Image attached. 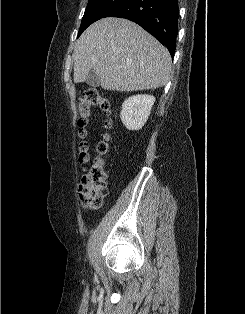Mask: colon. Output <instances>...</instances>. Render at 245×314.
I'll return each mask as SVG.
<instances>
[{"instance_id":"colon-1","label":"colon","mask_w":245,"mask_h":314,"mask_svg":"<svg viewBox=\"0 0 245 314\" xmlns=\"http://www.w3.org/2000/svg\"><path fill=\"white\" fill-rule=\"evenodd\" d=\"M93 107L99 108L105 114L111 112V103L108 97L101 94L96 89H87L84 91L82 98L78 104L79 117L78 136L81 141L78 145V160L81 164L86 165L84 174L79 187V199L82 207L86 211H92L99 207L101 195L106 186V168L104 156L110 148L109 137L105 136L97 144L98 156L90 161L89 144L86 141L87 130L86 125ZM106 126H111V121H106Z\"/></svg>"}]
</instances>
